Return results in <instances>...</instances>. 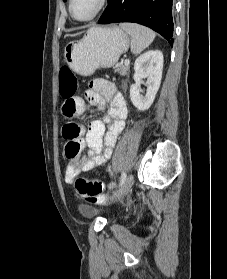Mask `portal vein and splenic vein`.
<instances>
[{
    "instance_id": "18ae733b",
    "label": "portal vein and splenic vein",
    "mask_w": 227,
    "mask_h": 279,
    "mask_svg": "<svg viewBox=\"0 0 227 279\" xmlns=\"http://www.w3.org/2000/svg\"><path fill=\"white\" fill-rule=\"evenodd\" d=\"M129 63H130L129 59H125V60H124V64H125V65H129Z\"/></svg>"
}]
</instances>
